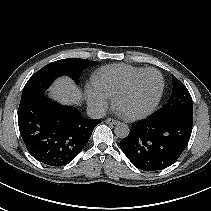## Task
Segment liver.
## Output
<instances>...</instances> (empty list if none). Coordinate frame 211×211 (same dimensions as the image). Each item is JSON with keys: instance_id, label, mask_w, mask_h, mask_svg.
<instances>
[{"instance_id": "6515ba94", "label": "liver", "mask_w": 211, "mask_h": 211, "mask_svg": "<svg viewBox=\"0 0 211 211\" xmlns=\"http://www.w3.org/2000/svg\"><path fill=\"white\" fill-rule=\"evenodd\" d=\"M62 104H78L81 99V93L71 80L68 78H61L49 90Z\"/></svg>"}]
</instances>
